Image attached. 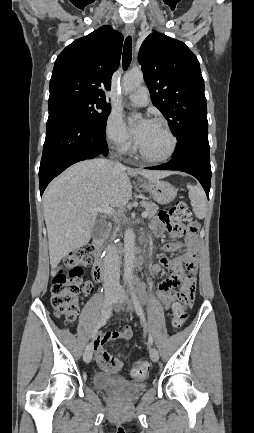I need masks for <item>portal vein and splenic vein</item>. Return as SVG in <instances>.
Masks as SVG:
<instances>
[{
	"instance_id": "1",
	"label": "portal vein and splenic vein",
	"mask_w": 254,
	"mask_h": 433,
	"mask_svg": "<svg viewBox=\"0 0 254 433\" xmlns=\"http://www.w3.org/2000/svg\"><path fill=\"white\" fill-rule=\"evenodd\" d=\"M89 212H91V213L100 212V213H104V214H108V215H113L116 213V211L112 207H110L109 204H103L101 206L91 208V209H89ZM142 217L143 218L147 217V212H143Z\"/></svg>"
}]
</instances>
